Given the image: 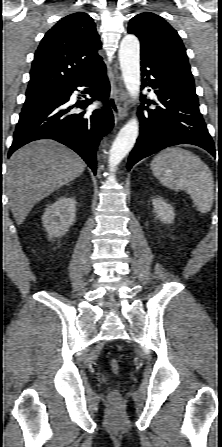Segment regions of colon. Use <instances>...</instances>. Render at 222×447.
Listing matches in <instances>:
<instances>
[{
    "label": "colon",
    "instance_id": "5ec220e1",
    "mask_svg": "<svg viewBox=\"0 0 222 447\" xmlns=\"http://www.w3.org/2000/svg\"><path fill=\"white\" fill-rule=\"evenodd\" d=\"M110 366H111L112 372L114 374H118L119 373V364H118L117 360H112L111 363H110ZM108 398H109V401L111 403H118L120 401V399H121L119 392L116 391V390H112L109 393Z\"/></svg>",
    "mask_w": 222,
    "mask_h": 447
}]
</instances>
